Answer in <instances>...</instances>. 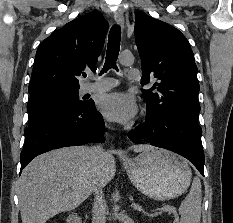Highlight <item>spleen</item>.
Listing matches in <instances>:
<instances>
[{"label":"spleen","mask_w":233,"mask_h":223,"mask_svg":"<svg viewBox=\"0 0 233 223\" xmlns=\"http://www.w3.org/2000/svg\"><path fill=\"white\" fill-rule=\"evenodd\" d=\"M201 197V181L199 177H194L190 191L179 207L181 223H200Z\"/></svg>","instance_id":"obj_1"}]
</instances>
